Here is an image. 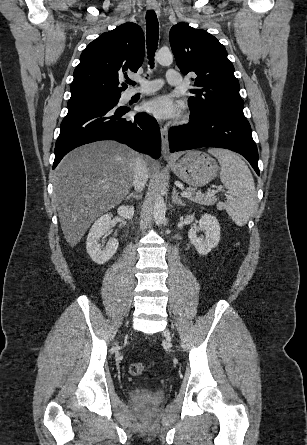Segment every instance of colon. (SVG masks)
Listing matches in <instances>:
<instances>
[{"label":"colon","mask_w":307,"mask_h":445,"mask_svg":"<svg viewBox=\"0 0 307 445\" xmlns=\"http://www.w3.org/2000/svg\"><path fill=\"white\" fill-rule=\"evenodd\" d=\"M145 365L142 363H132L129 366V373L131 375H140L144 372Z\"/></svg>","instance_id":"obj_1"}]
</instances>
